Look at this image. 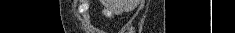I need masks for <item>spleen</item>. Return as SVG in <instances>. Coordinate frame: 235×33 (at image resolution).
I'll return each instance as SVG.
<instances>
[{
	"label": "spleen",
	"mask_w": 235,
	"mask_h": 33,
	"mask_svg": "<svg viewBox=\"0 0 235 33\" xmlns=\"http://www.w3.org/2000/svg\"><path fill=\"white\" fill-rule=\"evenodd\" d=\"M124 9L129 10L130 9V5H127Z\"/></svg>",
	"instance_id": "1"
}]
</instances>
